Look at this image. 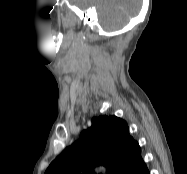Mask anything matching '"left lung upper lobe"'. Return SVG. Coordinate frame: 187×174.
I'll return each instance as SVG.
<instances>
[{"instance_id":"1","label":"left lung upper lobe","mask_w":187,"mask_h":174,"mask_svg":"<svg viewBox=\"0 0 187 174\" xmlns=\"http://www.w3.org/2000/svg\"><path fill=\"white\" fill-rule=\"evenodd\" d=\"M128 131L126 122L116 116L93 118L92 126L51 162L45 174H95L97 165L110 166V174H130L144 161Z\"/></svg>"}]
</instances>
